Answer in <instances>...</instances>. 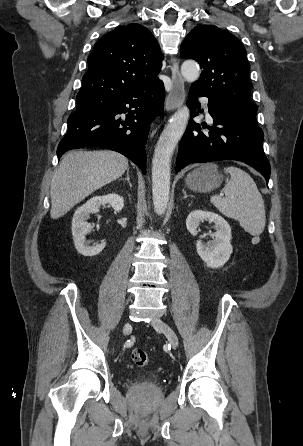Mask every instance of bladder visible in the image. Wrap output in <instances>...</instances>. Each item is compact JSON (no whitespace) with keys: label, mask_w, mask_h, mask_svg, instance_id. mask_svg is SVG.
<instances>
[{"label":"bladder","mask_w":303,"mask_h":446,"mask_svg":"<svg viewBox=\"0 0 303 446\" xmlns=\"http://www.w3.org/2000/svg\"><path fill=\"white\" fill-rule=\"evenodd\" d=\"M136 384L141 387H147L150 385V381L148 379H139Z\"/></svg>","instance_id":"bladder-1"}]
</instances>
